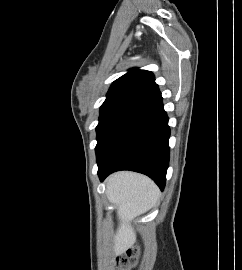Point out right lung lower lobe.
<instances>
[{
	"label": "right lung lower lobe",
	"instance_id": "1",
	"mask_svg": "<svg viewBox=\"0 0 242 270\" xmlns=\"http://www.w3.org/2000/svg\"><path fill=\"white\" fill-rule=\"evenodd\" d=\"M169 136L161 95L139 105L97 158L100 180L118 170H132L149 176L163 190L169 165Z\"/></svg>",
	"mask_w": 242,
	"mask_h": 270
}]
</instances>
